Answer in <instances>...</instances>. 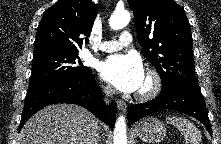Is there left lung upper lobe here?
<instances>
[{
    "label": "left lung upper lobe",
    "mask_w": 221,
    "mask_h": 144,
    "mask_svg": "<svg viewBox=\"0 0 221 144\" xmlns=\"http://www.w3.org/2000/svg\"><path fill=\"white\" fill-rule=\"evenodd\" d=\"M142 53L159 73L162 89H200L195 77L192 34L184 9L174 0H129Z\"/></svg>",
    "instance_id": "1"
}]
</instances>
